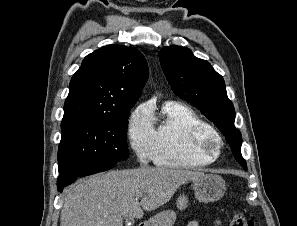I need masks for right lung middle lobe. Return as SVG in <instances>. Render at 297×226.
I'll return each mask as SVG.
<instances>
[{"label":"right lung middle lobe","mask_w":297,"mask_h":226,"mask_svg":"<svg viewBox=\"0 0 297 226\" xmlns=\"http://www.w3.org/2000/svg\"><path fill=\"white\" fill-rule=\"evenodd\" d=\"M131 107L117 118L76 117L62 121L59 173L90 164L126 160L129 156L127 117Z\"/></svg>","instance_id":"dd1d6c3e"}]
</instances>
